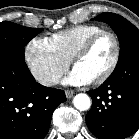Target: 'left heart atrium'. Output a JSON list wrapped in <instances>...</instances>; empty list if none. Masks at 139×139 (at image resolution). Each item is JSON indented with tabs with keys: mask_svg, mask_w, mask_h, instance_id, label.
<instances>
[{
	"mask_svg": "<svg viewBox=\"0 0 139 139\" xmlns=\"http://www.w3.org/2000/svg\"><path fill=\"white\" fill-rule=\"evenodd\" d=\"M66 84L71 85H85L92 82V79L79 69L74 68L70 76L64 81Z\"/></svg>",
	"mask_w": 139,
	"mask_h": 139,
	"instance_id": "1",
	"label": "left heart atrium"
}]
</instances>
